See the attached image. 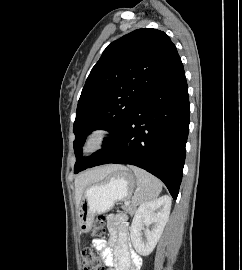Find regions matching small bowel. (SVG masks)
Segmentation results:
<instances>
[{
    "mask_svg": "<svg viewBox=\"0 0 242 270\" xmlns=\"http://www.w3.org/2000/svg\"><path fill=\"white\" fill-rule=\"evenodd\" d=\"M109 242L102 238L93 239L108 270H139L141 257L131 248L129 242V225L123 213L111 214L108 217Z\"/></svg>",
    "mask_w": 242,
    "mask_h": 270,
    "instance_id": "obj_1",
    "label": "small bowel"
}]
</instances>
